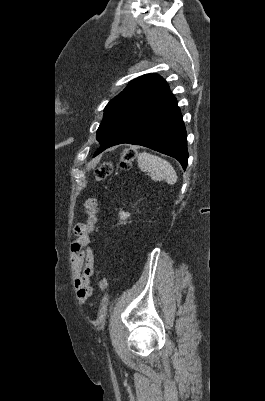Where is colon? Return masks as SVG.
Listing matches in <instances>:
<instances>
[{"instance_id": "colon-1", "label": "colon", "mask_w": 265, "mask_h": 401, "mask_svg": "<svg viewBox=\"0 0 265 401\" xmlns=\"http://www.w3.org/2000/svg\"><path fill=\"white\" fill-rule=\"evenodd\" d=\"M136 157V152L133 149H125L120 154V165L124 169H129L132 167ZM112 171V164L110 162H104L99 165L95 170V180L101 181L109 176ZM102 291L106 292L108 288V281L105 277H102L99 281Z\"/></svg>"}]
</instances>
